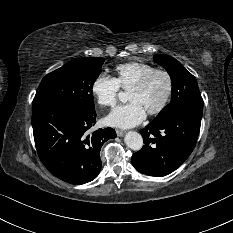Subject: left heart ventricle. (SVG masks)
Returning <instances> with one entry per match:
<instances>
[{
  "instance_id": "1",
  "label": "left heart ventricle",
  "mask_w": 233,
  "mask_h": 233,
  "mask_svg": "<svg viewBox=\"0 0 233 233\" xmlns=\"http://www.w3.org/2000/svg\"><path fill=\"white\" fill-rule=\"evenodd\" d=\"M166 91V77L163 74H157L142 91H130L128 100L139 103L146 112H149L160 105Z\"/></svg>"
}]
</instances>
